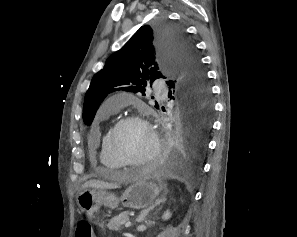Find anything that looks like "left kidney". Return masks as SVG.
Here are the masks:
<instances>
[{"instance_id": "1", "label": "left kidney", "mask_w": 297, "mask_h": 237, "mask_svg": "<svg viewBox=\"0 0 297 237\" xmlns=\"http://www.w3.org/2000/svg\"><path fill=\"white\" fill-rule=\"evenodd\" d=\"M170 217H171V213H170V211L167 210V211L163 214L162 219H163V220H168V219H170Z\"/></svg>"}]
</instances>
